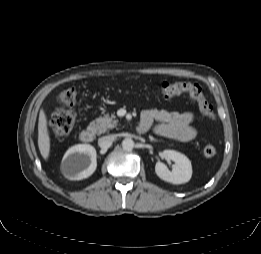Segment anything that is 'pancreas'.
<instances>
[{
	"mask_svg": "<svg viewBox=\"0 0 261 254\" xmlns=\"http://www.w3.org/2000/svg\"><path fill=\"white\" fill-rule=\"evenodd\" d=\"M118 120L114 115L105 114L103 117L96 118L95 121L90 123V127L98 135L107 132L108 130L117 126Z\"/></svg>",
	"mask_w": 261,
	"mask_h": 254,
	"instance_id": "1",
	"label": "pancreas"
}]
</instances>
